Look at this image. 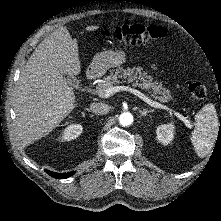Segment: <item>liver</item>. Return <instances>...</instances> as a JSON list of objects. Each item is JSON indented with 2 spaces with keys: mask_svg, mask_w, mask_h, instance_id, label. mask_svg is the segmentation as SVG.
Returning <instances> with one entry per match:
<instances>
[{
  "mask_svg": "<svg viewBox=\"0 0 221 221\" xmlns=\"http://www.w3.org/2000/svg\"><path fill=\"white\" fill-rule=\"evenodd\" d=\"M97 29V25L85 27ZM80 71L78 44L66 27L56 29L36 47L21 71L14 99L17 131L24 144L51 132L77 106L64 75Z\"/></svg>",
  "mask_w": 221,
  "mask_h": 221,
  "instance_id": "obj_1",
  "label": "liver"
}]
</instances>
